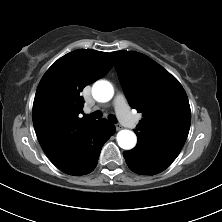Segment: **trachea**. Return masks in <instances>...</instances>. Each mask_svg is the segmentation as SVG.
Masks as SVG:
<instances>
[{
    "label": "trachea",
    "instance_id": "trachea-1",
    "mask_svg": "<svg viewBox=\"0 0 222 222\" xmlns=\"http://www.w3.org/2000/svg\"><path fill=\"white\" fill-rule=\"evenodd\" d=\"M87 118H92V119H99L102 117V113L100 111H95L89 115H85ZM108 119L112 122V123H116L117 122V118L114 115H109Z\"/></svg>",
    "mask_w": 222,
    "mask_h": 222
}]
</instances>
